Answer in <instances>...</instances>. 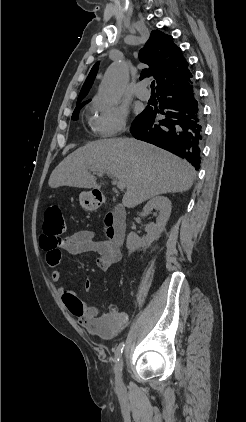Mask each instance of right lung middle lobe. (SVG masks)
<instances>
[{
  "label": "right lung middle lobe",
  "instance_id": "dd1d6c3e",
  "mask_svg": "<svg viewBox=\"0 0 246 422\" xmlns=\"http://www.w3.org/2000/svg\"><path fill=\"white\" fill-rule=\"evenodd\" d=\"M85 104H87V103H85ZM85 104L79 105V106H77V107L75 108V110H74V112H73V114H72V119H73V120H77V119H78L79 111H80V109H81V108H82Z\"/></svg>",
  "mask_w": 246,
  "mask_h": 422
}]
</instances>
